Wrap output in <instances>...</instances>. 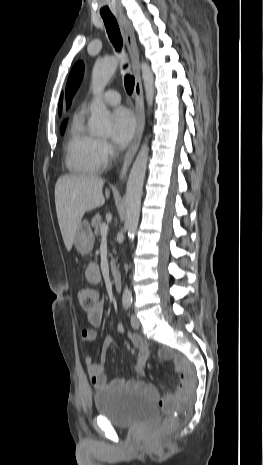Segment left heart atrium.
<instances>
[{"label":"left heart atrium","instance_id":"obj_1","mask_svg":"<svg viewBox=\"0 0 263 465\" xmlns=\"http://www.w3.org/2000/svg\"><path fill=\"white\" fill-rule=\"evenodd\" d=\"M114 142L119 146L127 145L136 130V120L133 113L125 108L118 107L112 113Z\"/></svg>","mask_w":263,"mask_h":465}]
</instances>
